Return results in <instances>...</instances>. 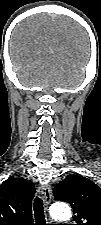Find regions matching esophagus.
I'll return each mask as SVG.
<instances>
[{
    "mask_svg": "<svg viewBox=\"0 0 101 225\" xmlns=\"http://www.w3.org/2000/svg\"><path fill=\"white\" fill-rule=\"evenodd\" d=\"M40 193L43 198L44 204L46 207L50 204L51 197H52V189L49 184H42L40 186Z\"/></svg>",
    "mask_w": 101,
    "mask_h": 225,
    "instance_id": "34e87169",
    "label": "esophagus"
}]
</instances>
